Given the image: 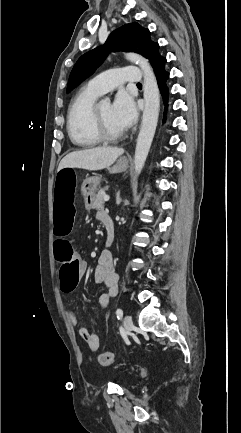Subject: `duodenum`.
Instances as JSON below:
<instances>
[{
  "label": "duodenum",
  "instance_id": "410a0bca",
  "mask_svg": "<svg viewBox=\"0 0 241 433\" xmlns=\"http://www.w3.org/2000/svg\"><path fill=\"white\" fill-rule=\"evenodd\" d=\"M102 223L106 229V246H110L114 240L115 227L111 216L104 215L102 218Z\"/></svg>",
  "mask_w": 241,
  "mask_h": 433
}]
</instances>
